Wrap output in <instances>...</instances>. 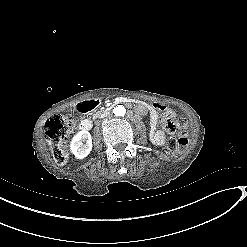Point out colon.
<instances>
[{
  "label": "colon",
  "instance_id": "5ec220e1",
  "mask_svg": "<svg viewBox=\"0 0 247 247\" xmlns=\"http://www.w3.org/2000/svg\"><path fill=\"white\" fill-rule=\"evenodd\" d=\"M157 111L166 113L168 106L159 103ZM75 128V119L71 115H54L45 124V136L50 143L54 160L63 165L67 162L66 141ZM188 137L186 135L173 136L167 139L166 149L170 155H174L180 148L186 147Z\"/></svg>",
  "mask_w": 247,
  "mask_h": 247
}]
</instances>
